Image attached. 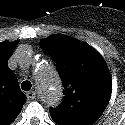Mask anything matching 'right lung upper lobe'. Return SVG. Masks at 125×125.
Instances as JSON below:
<instances>
[{
  "mask_svg": "<svg viewBox=\"0 0 125 125\" xmlns=\"http://www.w3.org/2000/svg\"><path fill=\"white\" fill-rule=\"evenodd\" d=\"M17 45L18 41L0 42V125L12 123L26 101L15 73L7 65Z\"/></svg>",
  "mask_w": 125,
  "mask_h": 125,
  "instance_id": "cb5924a9",
  "label": "right lung upper lobe"
}]
</instances>
